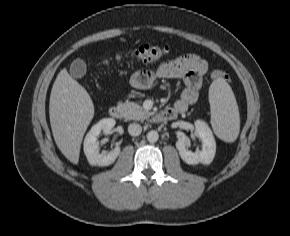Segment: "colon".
Returning <instances> with one entry per match:
<instances>
[{"mask_svg": "<svg viewBox=\"0 0 290 236\" xmlns=\"http://www.w3.org/2000/svg\"><path fill=\"white\" fill-rule=\"evenodd\" d=\"M171 50L167 45L145 44L126 54H117L115 57L106 60L109 62H119L124 59H134L143 62L154 61L169 54ZM212 80H227V74L222 70H214L211 73Z\"/></svg>", "mask_w": 290, "mask_h": 236, "instance_id": "5ec220e1", "label": "colon"}]
</instances>
